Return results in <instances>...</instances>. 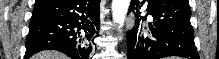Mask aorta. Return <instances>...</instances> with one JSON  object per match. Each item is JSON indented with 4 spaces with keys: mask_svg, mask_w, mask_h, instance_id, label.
I'll list each match as a JSON object with an SVG mask.
<instances>
[{
    "mask_svg": "<svg viewBox=\"0 0 219 59\" xmlns=\"http://www.w3.org/2000/svg\"><path fill=\"white\" fill-rule=\"evenodd\" d=\"M130 0H112L113 21L119 24V30L124 25Z\"/></svg>",
    "mask_w": 219,
    "mask_h": 59,
    "instance_id": "1",
    "label": "aorta"
}]
</instances>
